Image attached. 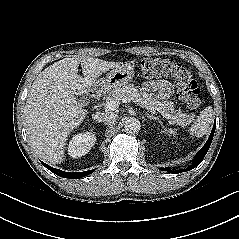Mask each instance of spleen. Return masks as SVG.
<instances>
[{
    "label": "spleen",
    "mask_w": 239,
    "mask_h": 239,
    "mask_svg": "<svg viewBox=\"0 0 239 239\" xmlns=\"http://www.w3.org/2000/svg\"><path fill=\"white\" fill-rule=\"evenodd\" d=\"M213 121V109L211 106L206 107L200 113V116L197 118L196 122L190 127L189 131L191 135L201 137L205 135L210 128V125ZM166 133L169 136H175L176 132L173 129H166Z\"/></svg>",
    "instance_id": "obj_1"
}]
</instances>
